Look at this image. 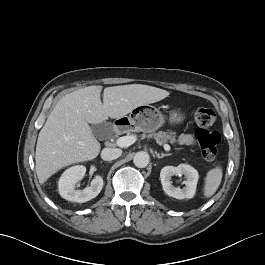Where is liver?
<instances>
[{
  "mask_svg": "<svg viewBox=\"0 0 265 265\" xmlns=\"http://www.w3.org/2000/svg\"><path fill=\"white\" fill-rule=\"evenodd\" d=\"M88 86L63 96L41 129L35 152L36 173L41 184L71 164L95 159L101 149L89 124H100L108 117L121 118L135 107L168 97L160 88L130 84L106 87Z\"/></svg>",
  "mask_w": 265,
  "mask_h": 265,
  "instance_id": "liver-1",
  "label": "liver"
}]
</instances>
